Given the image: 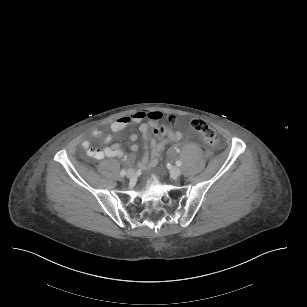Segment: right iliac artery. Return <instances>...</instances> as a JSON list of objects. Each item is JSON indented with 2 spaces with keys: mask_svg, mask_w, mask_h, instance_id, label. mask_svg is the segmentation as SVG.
<instances>
[{
  "mask_svg": "<svg viewBox=\"0 0 307 307\" xmlns=\"http://www.w3.org/2000/svg\"><path fill=\"white\" fill-rule=\"evenodd\" d=\"M120 175H121V176H125V175H126V170H124V169L121 170V171H120Z\"/></svg>",
  "mask_w": 307,
  "mask_h": 307,
  "instance_id": "right-iliac-artery-1",
  "label": "right iliac artery"
}]
</instances>
